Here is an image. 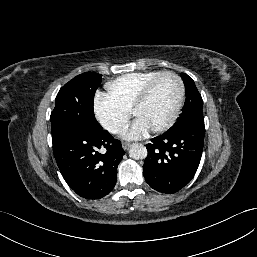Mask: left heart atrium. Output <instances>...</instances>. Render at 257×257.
<instances>
[{
	"instance_id": "obj_1",
	"label": "left heart atrium",
	"mask_w": 257,
	"mask_h": 257,
	"mask_svg": "<svg viewBox=\"0 0 257 257\" xmlns=\"http://www.w3.org/2000/svg\"><path fill=\"white\" fill-rule=\"evenodd\" d=\"M150 131L149 126L140 118H136L132 124L123 132L126 140H139L145 137Z\"/></svg>"
}]
</instances>
